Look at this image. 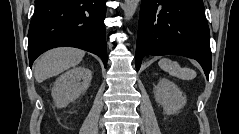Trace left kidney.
<instances>
[{
	"instance_id": "1",
	"label": "left kidney",
	"mask_w": 239,
	"mask_h": 134,
	"mask_svg": "<svg viewBox=\"0 0 239 134\" xmlns=\"http://www.w3.org/2000/svg\"><path fill=\"white\" fill-rule=\"evenodd\" d=\"M154 97L167 115L177 113L186 104L183 92L170 80L162 78L154 88Z\"/></svg>"
}]
</instances>
